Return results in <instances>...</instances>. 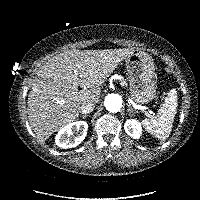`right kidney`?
<instances>
[{"mask_svg": "<svg viewBox=\"0 0 200 200\" xmlns=\"http://www.w3.org/2000/svg\"><path fill=\"white\" fill-rule=\"evenodd\" d=\"M87 130L88 124L85 121L69 123L57 133L56 145L64 149L76 147L85 139Z\"/></svg>", "mask_w": 200, "mask_h": 200, "instance_id": "right-kidney-1", "label": "right kidney"}]
</instances>
